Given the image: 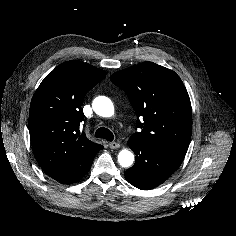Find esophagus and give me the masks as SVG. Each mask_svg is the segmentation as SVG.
Instances as JSON below:
<instances>
[{"mask_svg": "<svg viewBox=\"0 0 236 236\" xmlns=\"http://www.w3.org/2000/svg\"><path fill=\"white\" fill-rule=\"evenodd\" d=\"M109 146H110L111 149H116V148L120 147V144L117 143V142H110Z\"/></svg>", "mask_w": 236, "mask_h": 236, "instance_id": "1", "label": "esophagus"}]
</instances>
